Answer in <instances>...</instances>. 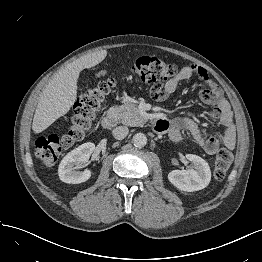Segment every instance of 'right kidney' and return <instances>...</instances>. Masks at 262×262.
<instances>
[{
    "label": "right kidney",
    "instance_id": "1",
    "mask_svg": "<svg viewBox=\"0 0 262 262\" xmlns=\"http://www.w3.org/2000/svg\"><path fill=\"white\" fill-rule=\"evenodd\" d=\"M95 149V144L88 142L69 152L61 161L58 174L65 183L78 184L87 181L92 172L88 169L77 171L83 163H87Z\"/></svg>",
    "mask_w": 262,
    "mask_h": 262
}]
</instances>
